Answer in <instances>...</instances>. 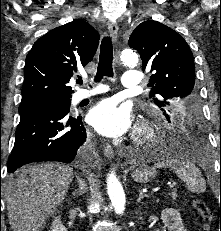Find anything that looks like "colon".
<instances>
[{"mask_svg":"<svg viewBox=\"0 0 221 231\" xmlns=\"http://www.w3.org/2000/svg\"><path fill=\"white\" fill-rule=\"evenodd\" d=\"M193 207L199 213L202 218L204 231H209L210 226L213 221V213L210 208L206 205V203L201 199H194L193 200Z\"/></svg>","mask_w":221,"mask_h":231,"instance_id":"5ec220e1","label":"colon"}]
</instances>
